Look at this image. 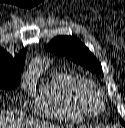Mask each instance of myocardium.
<instances>
[{
	"instance_id": "f54148a6",
	"label": "myocardium",
	"mask_w": 125,
	"mask_h": 128,
	"mask_svg": "<svg viewBox=\"0 0 125 128\" xmlns=\"http://www.w3.org/2000/svg\"><path fill=\"white\" fill-rule=\"evenodd\" d=\"M79 97L87 112L99 114L104 109V95L100 88L91 81L83 80L79 87Z\"/></svg>"
}]
</instances>
